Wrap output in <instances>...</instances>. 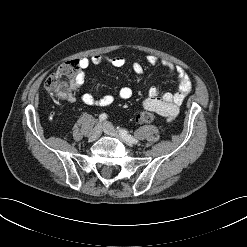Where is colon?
<instances>
[{"label": "colon", "instance_id": "1", "mask_svg": "<svg viewBox=\"0 0 247 247\" xmlns=\"http://www.w3.org/2000/svg\"><path fill=\"white\" fill-rule=\"evenodd\" d=\"M79 71L78 60H70L50 75L45 82V89L50 98L54 100L69 98L72 91L78 87ZM155 119V114L147 110L140 111L136 117L137 122L140 124L152 123Z\"/></svg>", "mask_w": 247, "mask_h": 247}]
</instances>
